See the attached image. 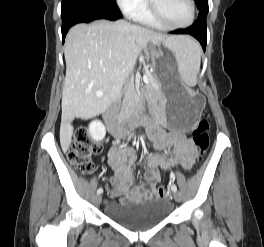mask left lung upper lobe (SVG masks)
I'll return each instance as SVG.
<instances>
[{
	"mask_svg": "<svg viewBox=\"0 0 264 247\" xmlns=\"http://www.w3.org/2000/svg\"><path fill=\"white\" fill-rule=\"evenodd\" d=\"M197 8L199 10L198 18L205 19L208 13V0H195Z\"/></svg>",
	"mask_w": 264,
	"mask_h": 247,
	"instance_id": "1",
	"label": "left lung upper lobe"
}]
</instances>
